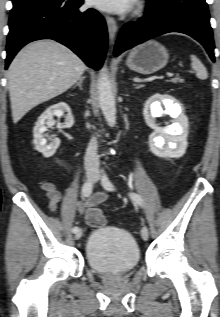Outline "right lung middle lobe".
<instances>
[{
  "label": "right lung middle lobe",
  "instance_id": "obj_1",
  "mask_svg": "<svg viewBox=\"0 0 220 317\" xmlns=\"http://www.w3.org/2000/svg\"><path fill=\"white\" fill-rule=\"evenodd\" d=\"M27 1H31V0H12L13 5H18L20 3L27 2Z\"/></svg>",
  "mask_w": 220,
  "mask_h": 317
}]
</instances>
